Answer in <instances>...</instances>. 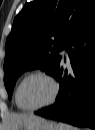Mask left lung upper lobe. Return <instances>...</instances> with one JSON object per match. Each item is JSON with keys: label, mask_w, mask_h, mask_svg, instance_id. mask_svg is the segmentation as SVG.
Listing matches in <instances>:
<instances>
[{"label": "left lung upper lobe", "mask_w": 95, "mask_h": 130, "mask_svg": "<svg viewBox=\"0 0 95 130\" xmlns=\"http://www.w3.org/2000/svg\"><path fill=\"white\" fill-rule=\"evenodd\" d=\"M95 13V0H35L14 19L6 41L4 84L11 98L18 77L40 68L53 75L81 22Z\"/></svg>", "instance_id": "1"}]
</instances>
